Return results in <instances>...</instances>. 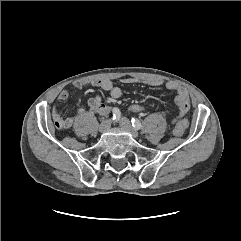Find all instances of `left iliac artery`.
I'll list each match as a JSON object with an SVG mask.
<instances>
[{
    "label": "left iliac artery",
    "mask_w": 241,
    "mask_h": 241,
    "mask_svg": "<svg viewBox=\"0 0 241 241\" xmlns=\"http://www.w3.org/2000/svg\"><path fill=\"white\" fill-rule=\"evenodd\" d=\"M131 122H132V126L136 129V130H139L142 128V124L141 122L137 119V118H132L131 119Z\"/></svg>",
    "instance_id": "1"
}]
</instances>
